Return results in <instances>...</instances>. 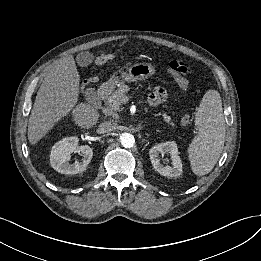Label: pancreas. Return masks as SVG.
<instances>
[{"label": "pancreas", "mask_w": 261, "mask_h": 261, "mask_svg": "<svg viewBox=\"0 0 261 261\" xmlns=\"http://www.w3.org/2000/svg\"><path fill=\"white\" fill-rule=\"evenodd\" d=\"M130 88L123 84L119 86L115 91H112L106 99V104L114 111H120V106L124 103V99L127 98V93ZM163 120L172 127H175L174 122H172L171 117L166 113L162 114Z\"/></svg>", "instance_id": "cf45deb5"}]
</instances>
